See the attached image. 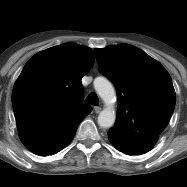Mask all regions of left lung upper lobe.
I'll return each instance as SVG.
<instances>
[{"mask_svg":"<svg viewBox=\"0 0 187 187\" xmlns=\"http://www.w3.org/2000/svg\"><path fill=\"white\" fill-rule=\"evenodd\" d=\"M94 52L99 71L117 90V117L110 129L158 137L169 123L176 98L165 68L129 44L111 45Z\"/></svg>","mask_w":187,"mask_h":187,"instance_id":"left-lung-upper-lobe-1","label":"left lung upper lobe"}]
</instances>
